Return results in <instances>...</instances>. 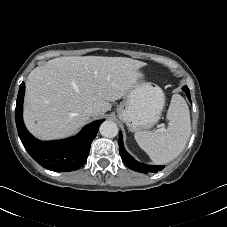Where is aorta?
Listing matches in <instances>:
<instances>
[{"label": "aorta", "mask_w": 227, "mask_h": 227, "mask_svg": "<svg viewBox=\"0 0 227 227\" xmlns=\"http://www.w3.org/2000/svg\"><path fill=\"white\" fill-rule=\"evenodd\" d=\"M100 134L107 138H114L118 134V126L113 121H104L100 126Z\"/></svg>", "instance_id": "obj_1"}]
</instances>
